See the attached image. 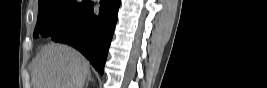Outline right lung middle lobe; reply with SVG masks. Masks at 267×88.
Here are the masks:
<instances>
[{
    "instance_id": "1",
    "label": "right lung middle lobe",
    "mask_w": 267,
    "mask_h": 88,
    "mask_svg": "<svg viewBox=\"0 0 267 88\" xmlns=\"http://www.w3.org/2000/svg\"><path fill=\"white\" fill-rule=\"evenodd\" d=\"M90 0H40L34 38L52 37L74 24L91 5Z\"/></svg>"
}]
</instances>
